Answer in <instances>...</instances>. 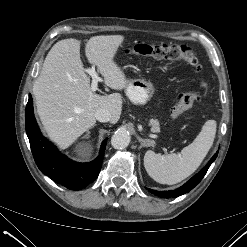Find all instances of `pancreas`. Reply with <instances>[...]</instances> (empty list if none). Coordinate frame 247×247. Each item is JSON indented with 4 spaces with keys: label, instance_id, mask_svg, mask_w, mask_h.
<instances>
[{
    "label": "pancreas",
    "instance_id": "1",
    "mask_svg": "<svg viewBox=\"0 0 247 247\" xmlns=\"http://www.w3.org/2000/svg\"><path fill=\"white\" fill-rule=\"evenodd\" d=\"M150 125L152 126L154 132L159 131V122L157 120L151 119Z\"/></svg>",
    "mask_w": 247,
    "mask_h": 247
}]
</instances>
